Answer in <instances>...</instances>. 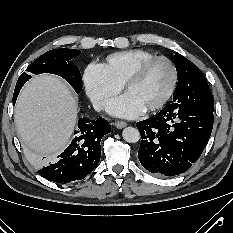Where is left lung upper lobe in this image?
<instances>
[{"instance_id":"5c2ea615","label":"left lung upper lobe","mask_w":233,"mask_h":233,"mask_svg":"<svg viewBox=\"0 0 233 233\" xmlns=\"http://www.w3.org/2000/svg\"><path fill=\"white\" fill-rule=\"evenodd\" d=\"M178 74L173 103L188 108L214 111L213 95L201 70L179 53L174 56Z\"/></svg>"}]
</instances>
